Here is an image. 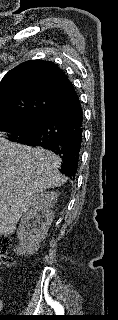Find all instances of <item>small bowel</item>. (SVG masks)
Here are the masks:
<instances>
[{
    "mask_svg": "<svg viewBox=\"0 0 118 320\" xmlns=\"http://www.w3.org/2000/svg\"><path fill=\"white\" fill-rule=\"evenodd\" d=\"M2 310H3V302H2V300L0 299V313L2 312Z\"/></svg>",
    "mask_w": 118,
    "mask_h": 320,
    "instance_id": "obj_1",
    "label": "small bowel"
}]
</instances>
